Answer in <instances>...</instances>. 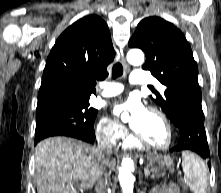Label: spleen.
Returning a JSON list of instances; mask_svg holds the SVG:
<instances>
[{
	"label": "spleen",
	"mask_w": 221,
	"mask_h": 193,
	"mask_svg": "<svg viewBox=\"0 0 221 193\" xmlns=\"http://www.w3.org/2000/svg\"><path fill=\"white\" fill-rule=\"evenodd\" d=\"M182 168L186 184L193 193H206L208 185L207 166L196 154L182 153Z\"/></svg>",
	"instance_id": "obj_1"
}]
</instances>
